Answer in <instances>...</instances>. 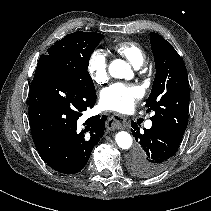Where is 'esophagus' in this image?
I'll return each instance as SVG.
<instances>
[{"instance_id": "34e87169", "label": "esophagus", "mask_w": 211, "mask_h": 211, "mask_svg": "<svg viewBox=\"0 0 211 211\" xmlns=\"http://www.w3.org/2000/svg\"><path fill=\"white\" fill-rule=\"evenodd\" d=\"M125 125V119L119 114L112 115L106 122V127L108 130L122 129L125 127Z\"/></svg>"}]
</instances>
